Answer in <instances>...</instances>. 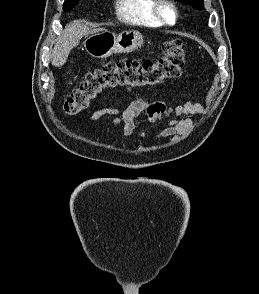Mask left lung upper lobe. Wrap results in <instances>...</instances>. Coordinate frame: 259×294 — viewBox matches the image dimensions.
Here are the masks:
<instances>
[{"label": "left lung upper lobe", "instance_id": "left-lung-upper-lobe-1", "mask_svg": "<svg viewBox=\"0 0 259 294\" xmlns=\"http://www.w3.org/2000/svg\"><path fill=\"white\" fill-rule=\"evenodd\" d=\"M186 5H191L193 8L202 10L204 9V1L203 0H177Z\"/></svg>", "mask_w": 259, "mask_h": 294}]
</instances>
